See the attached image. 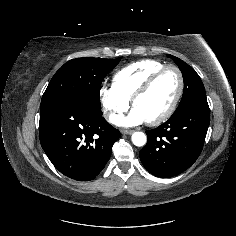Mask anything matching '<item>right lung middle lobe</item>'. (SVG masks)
<instances>
[{
    "instance_id": "right-lung-middle-lobe-1",
    "label": "right lung middle lobe",
    "mask_w": 236,
    "mask_h": 236,
    "mask_svg": "<svg viewBox=\"0 0 236 236\" xmlns=\"http://www.w3.org/2000/svg\"><path fill=\"white\" fill-rule=\"evenodd\" d=\"M120 59L76 58L68 61L49 82L42 96L41 108L60 99H71L91 109L101 110L102 80Z\"/></svg>"
}]
</instances>
